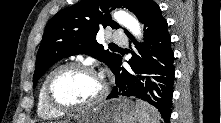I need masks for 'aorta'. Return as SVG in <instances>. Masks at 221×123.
<instances>
[{
    "mask_svg": "<svg viewBox=\"0 0 221 123\" xmlns=\"http://www.w3.org/2000/svg\"><path fill=\"white\" fill-rule=\"evenodd\" d=\"M114 20L120 25L127 28L136 37L141 36V29L138 20L126 13L125 11H117L113 14Z\"/></svg>",
    "mask_w": 221,
    "mask_h": 123,
    "instance_id": "1",
    "label": "aorta"
}]
</instances>
